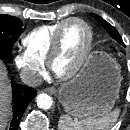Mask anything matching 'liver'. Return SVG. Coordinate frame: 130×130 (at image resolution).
I'll return each instance as SVG.
<instances>
[{"label": "liver", "mask_w": 130, "mask_h": 130, "mask_svg": "<svg viewBox=\"0 0 130 130\" xmlns=\"http://www.w3.org/2000/svg\"><path fill=\"white\" fill-rule=\"evenodd\" d=\"M11 114V87L5 65L0 60V130L7 126Z\"/></svg>", "instance_id": "liver-1"}]
</instances>
